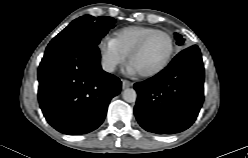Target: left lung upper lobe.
<instances>
[{"mask_svg": "<svg viewBox=\"0 0 248 158\" xmlns=\"http://www.w3.org/2000/svg\"><path fill=\"white\" fill-rule=\"evenodd\" d=\"M175 39H176L178 45L184 44V39L180 34L175 33Z\"/></svg>", "mask_w": 248, "mask_h": 158, "instance_id": "left-lung-upper-lobe-1", "label": "left lung upper lobe"}]
</instances>
